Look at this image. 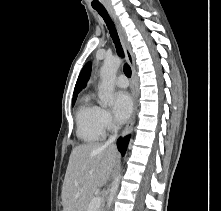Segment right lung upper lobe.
<instances>
[{"mask_svg": "<svg viewBox=\"0 0 221 211\" xmlns=\"http://www.w3.org/2000/svg\"><path fill=\"white\" fill-rule=\"evenodd\" d=\"M90 72H91V62H88L85 64V66L81 70V73L75 85L73 97H76L77 94L81 91V89L86 85L90 77Z\"/></svg>", "mask_w": 221, "mask_h": 211, "instance_id": "cb5924a9", "label": "right lung upper lobe"}]
</instances>
